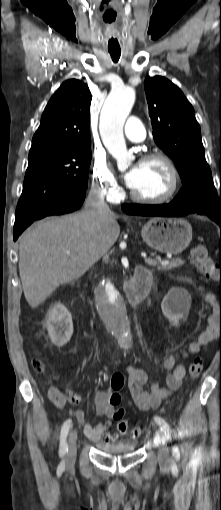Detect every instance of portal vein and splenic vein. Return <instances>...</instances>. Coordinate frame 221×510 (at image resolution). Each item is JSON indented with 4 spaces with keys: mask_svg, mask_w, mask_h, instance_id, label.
<instances>
[{
    "mask_svg": "<svg viewBox=\"0 0 221 510\" xmlns=\"http://www.w3.org/2000/svg\"><path fill=\"white\" fill-rule=\"evenodd\" d=\"M68 253H69V252H68ZM142 256H143V258H144L145 263H146V264H148V265H156V264L158 263L156 260L151 259V258H147V257H146L145 255H143V254H142ZM162 264H168V261H166V262H162Z\"/></svg>",
    "mask_w": 221,
    "mask_h": 510,
    "instance_id": "obj_1",
    "label": "portal vein and splenic vein"
}]
</instances>
